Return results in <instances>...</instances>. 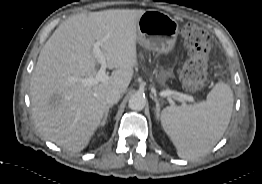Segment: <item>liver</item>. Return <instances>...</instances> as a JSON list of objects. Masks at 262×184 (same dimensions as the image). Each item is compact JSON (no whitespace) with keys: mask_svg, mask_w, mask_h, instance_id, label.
Returning <instances> with one entry per match:
<instances>
[{"mask_svg":"<svg viewBox=\"0 0 262 184\" xmlns=\"http://www.w3.org/2000/svg\"><path fill=\"white\" fill-rule=\"evenodd\" d=\"M142 9H110L74 15L54 31L43 46L32 74V115L38 131L70 151L87 147L107 109L106 94L128 88L137 64V22ZM107 67L115 69L104 82L87 86L96 75L99 59L95 41Z\"/></svg>","mask_w":262,"mask_h":184,"instance_id":"obj_1","label":"liver"}]
</instances>
